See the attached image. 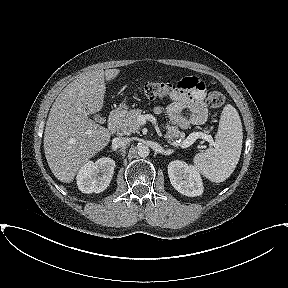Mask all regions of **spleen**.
I'll use <instances>...</instances> for the list:
<instances>
[{"mask_svg": "<svg viewBox=\"0 0 288 288\" xmlns=\"http://www.w3.org/2000/svg\"><path fill=\"white\" fill-rule=\"evenodd\" d=\"M242 123L232 105L222 111L215 146L193 158L195 168L212 182L225 181L235 170L242 150Z\"/></svg>", "mask_w": 288, "mask_h": 288, "instance_id": "obj_1", "label": "spleen"}]
</instances>
